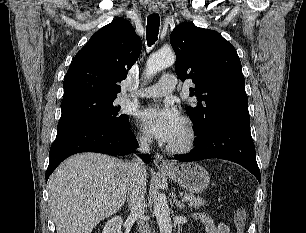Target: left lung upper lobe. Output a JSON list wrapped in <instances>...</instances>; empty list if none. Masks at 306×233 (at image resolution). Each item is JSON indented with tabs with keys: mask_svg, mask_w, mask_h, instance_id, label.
Instances as JSON below:
<instances>
[{
	"mask_svg": "<svg viewBox=\"0 0 306 233\" xmlns=\"http://www.w3.org/2000/svg\"><path fill=\"white\" fill-rule=\"evenodd\" d=\"M170 43L176 54L175 71L195 88V106L186 112L197 134L225 122H250L241 62L235 48L218 32L192 22L176 26Z\"/></svg>",
	"mask_w": 306,
	"mask_h": 233,
	"instance_id": "1",
	"label": "left lung upper lobe"
}]
</instances>
